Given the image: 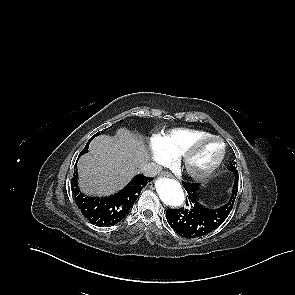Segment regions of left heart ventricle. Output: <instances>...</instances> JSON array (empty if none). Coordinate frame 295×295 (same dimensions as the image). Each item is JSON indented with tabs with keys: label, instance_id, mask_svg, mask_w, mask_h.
Instances as JSON below:
<instances>
[{
	"label": "left heart ventricle",
	"instance_id": "obj_1",
	"mask_svg": "<svg viewBox=\"0 0 295 295\" xmlns=\"http://www.w3.org/2000/svg\"><path fill=\"white\" fill-rule=\"evenodd\" d=\"M220 146L216 142H207L194 154L191 167L195 170H204L209 167L218 157Z\"/></svg>",
	"mask_w": 295,
	"mask_h": 295
}]
</instances>
